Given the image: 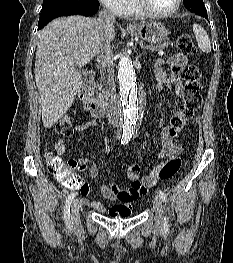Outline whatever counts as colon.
<instances>
[{"label": "colon", "instance_id": "obj_1", "mask_svg": "<svg viewBox=\"0 0 233 263\" xmlns=\"http://www.w3.org/2000/svg\"><path fill=\"white\" fill-rule=\"evenodd\" d=\"M177 43L184 54L193 55L196 53V47L189 34H180ZM182 76L185 81L184 103L172 116L170 126L175 132L181 130L202 106L201 70L197 66L189 64L183 69ZM55 128L60 134H70L73 129L72 117L70 115L63 116L56 123ZM46 159L49 172L58 180L65 182V189H78L80 195L90 194V187L80 177L82 176V171H72L75 166L72 160L65 161L60 156L52 153H47ZM180 167V158L171 159L156 171L155 178L157 180L170 179L179 171ZM83 174L85 175L86 173L84 172Z\"/></svg>", "mask_w": 233, "mask_h": 263}]
</instances>
